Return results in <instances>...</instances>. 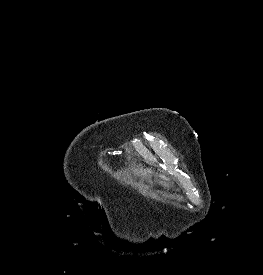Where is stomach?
I'll list each match as a JSON object with an SVG mask.
<instances>
[{"label":"stomach","mask_w":263,"mask_h":275,"mask_svg":"<svg viewBox=\"0 0 263 275\" xmlns=\"http://www.w3.org/2000/svg\"><path fill=\"white\" fill-rule=\"evenodd\" d=\"M160 184L164 187H169L171 185V181L165 176H160Z\"/></svg>","instance_id":"0dacf381"}]
</instances>
